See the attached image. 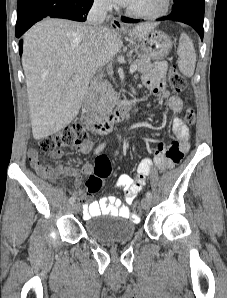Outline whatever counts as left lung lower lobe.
<instances>
[{"mask_svg":"<svg viewBox=\"0 0 227 298\" xmlns=\"http://www.w3.org/2000/svg\"><path fill=\"white\" fill-rule=\"evenodd\" d=\"M125 23L139 22L138 19L121 18ZM157 20H173L192 26L203 40L204 30V0H174L173 10L170 15Z\"/></svg>","mask_w":227,"mask_h":298,"instance_id":"obj_1","label":"left lung lower lobe"}]
</instances>
